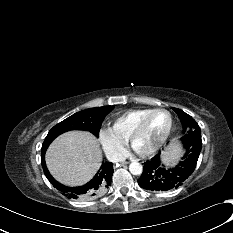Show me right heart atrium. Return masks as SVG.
<instances>
[{"label": "right heart atrium", "instance_id": "obj_1", "mask_svg": "<svg viewBox=\"0 0 233 233\" xmlns=\"http://www.w3.org/2000/svg\"><path fill=\"white\" fill-rule=\"evenodd\" d=\"M100 144L111 160H119L125 153V145L114 138L108 131H101L99 134Z\"/></svg>", "mask_w": 233, "mask_h": 233}]
</instances>
